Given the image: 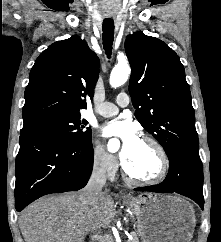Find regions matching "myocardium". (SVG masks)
<instances>
[{
  "label": "myocardium",
  "mask_w": 221,
  "mask_h": 242,
  "mask_svg": "<svg viewBox=\"0 0 221 242\" xmlns=\"http://www.w3.org/2000/svg\"><path fill=\"white\" fill-rule=\"evenodd\" d=\"M142 142L150 144L156 152V155L159 160V170L156 175L150 178L138 177L133 175L124 161H122V168L126 178L134 183L143 184V185H153L161 182L167 175L169 169V159L164 147L153 137L144 136L140 139Z\"/></svg>",
  "instance_id": "f54148a6"
}]
</instances>
